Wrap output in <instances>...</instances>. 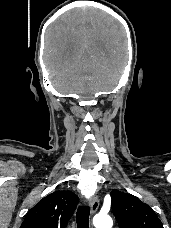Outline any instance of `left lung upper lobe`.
I'll return each instance as SVG.
<instances>
[{"label": "left lung upper lobe", "instance_id": "5c2ea615", "mask_svg": "<svg viewBox=\"0 0 171 228\" xmlns=\"http://www.w3.org/2000/svg\"><path fill=\"white\" fill-rule=\"evenodd\" d=\"M112 211L120 228H163L152 208L134 195L112 190Z\"/></svg>", "mask_w": 171, "mask_h": 228}]
</instances>
